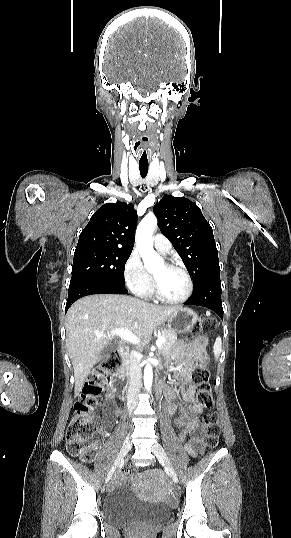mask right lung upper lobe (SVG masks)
Wrapping results in <instances>:
<instances>
[{
    "label": "right lung upper lobe",
    "instance_id": "right-lung-upper-lobe-1",
    "mask_svg": "<svg viewBox=\"0 0 291 538\" xmlns=\"http://www.w3.org/2000/svg\"><path fill=\"white\" fill-rule=\"evenodd\" d=\"M137 219L133 204H104L82 230L75 251L87 248L132 250Z\"/></svg>",
    "mask_w": 291,
    "mask_h": 538
}]
</instances>
